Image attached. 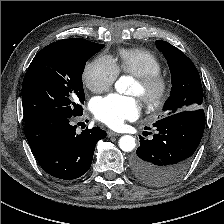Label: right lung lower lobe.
Wrapping results in <instances>:
<instances>
[{"label":"right lung lower lobe","instance_id":"98d812e1","mask_svg":"<svg viewBox=\"0 0 224 224\" xmlns=\"http://www.w3.org/2000/svg\"><path fill=\"white\" fill-rule=\"evenodd\" d=\"M83 114L63 116L47 114L25 122L24 133L31 150L48 174L63 180L85 174L92 163L97 142L106 137L99 127L76 134L71 120Z\"/></svg>","mask_w":224,"mask_h":224}]
</instances>
